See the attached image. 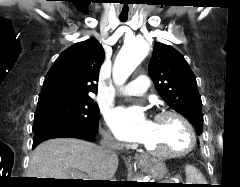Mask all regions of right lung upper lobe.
Segmentation results:
<instances>
[{"label":"right lung upper lobe","mask_w":240,"mask_h":187,"mask_svg":"<svg viewBox=\"0 0 240 187\" xmlns=\"http://www.w3.org/2000/svg\"><path fill=\"white\" fill-rule=\"evenodd\" d=\"M104 60L102 45L94 38L63 51L46 74L38 105L57 100L91 99L98 91L99 70Z\"/></svg>","instance_id":"right-lung-upper-lobe-1"}]
</instances>
